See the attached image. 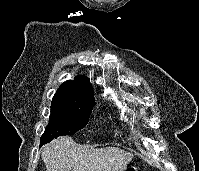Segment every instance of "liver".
Here are the masks:
<instances>
[{"mask_svg":"<svg viewBox=\"0 0 199 171\" xmlns=\"http://www.w3.org/2000/svg\"><path fill=\"white\" fill-rule=\"evenodd\" d=\"M133 155L115 147L89 149L61 137L42 150L47 171H121Z\"/></svg>","mask_w":199,"mask_h":171,"instance_id":"liver-1","label":"liver"}]
</instances>
